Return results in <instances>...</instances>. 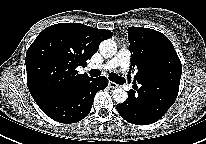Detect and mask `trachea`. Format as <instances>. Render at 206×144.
I'll list each match as a JSON object with an SVG mask.
<instances>
[{
	"instance_id": "1",
	"label": "trachea",
	"mask_w": 206,
	"mask_h": 144,
	"mask_svg": "<svg viewBox=\"0 0 206 144\" xmlns=\"http://www.w3.org/2000/svg\"><path fill=\"white\" fill-rule=\"evenodd\" d=\"M89 74H90L91 77H97V76H100L101 71L98 70V69H91L89 71ZM109 79L113 82H116V83L120 82V80H121V78L118 75L113 74V73H111L109 75Z\"/></svg>"
}]
</instances>
